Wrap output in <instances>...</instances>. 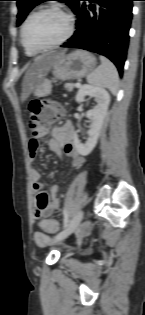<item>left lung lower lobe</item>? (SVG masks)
<instances>
[{"instance_id":"1","label":"left lung lower lobe","mask_w":145,"mask_h":315,"mask_svg":"<svg viewBox=\"0 0 145 315\" xmlns=\"http://www.w3.org/2000/svg\"><path fill=\"white\" fill-rule=\"evenodd\" d=\"M85 1L95 4L86 5ZM134 0H79L76 31L61 47L89 50L109 58L123 74Z\"/></svg>"}]
</instances>
